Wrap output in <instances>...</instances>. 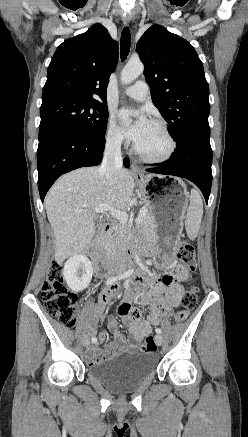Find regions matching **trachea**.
<instances>
[{"label":"trachea","mask_w":248,"mask_h":437,"mask_svg":"<svg viewBox=\"0 0 248 437\" xmlns=\"http://www.w3.org/2000/svg\"><path fill=\"white\" fill-rule=\"evenodd\" d=\"M130 46H131L130 31L128 27H125L122 31L121 40H120V54L122 60H125L126 57L128 56L130 51Z\"/></svg>","instance_id":"trachea-1"}]
</instances>
